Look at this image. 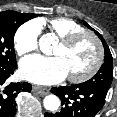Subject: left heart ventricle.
<instances>
[{
    "label": "left heart ventricle",
    "instance_id": "b2bd125f",
    "mask_svg": "<svg viewBox=\"0 0 117 117\" xmlns=\"http://www.w3.org/2000/svg\"><path fill=\"white\" fill-rule=\"evenodd\" d=\"M53 55L63 60L68 75H80L93 65L96 47L90 38L84 37L69 47L58 43Z\"/></svg>",
    "mask_w": 117,
    "mask_h": 117
}]
</instances>
